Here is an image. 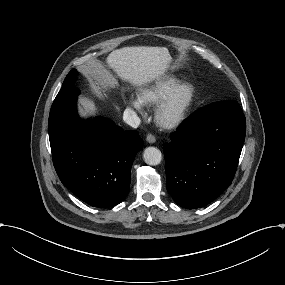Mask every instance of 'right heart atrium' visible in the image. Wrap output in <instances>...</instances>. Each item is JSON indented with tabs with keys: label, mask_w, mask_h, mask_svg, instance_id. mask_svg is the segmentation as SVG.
Segmentation results:
<instances>
[{
	"label": "right heart atrium",
	"mask_w": 285,
	"mask_h": 285,
	"mask_svg": "<svg viewBox=\"0 0 285 285\" xmlns=\"http://www.w3.org/2000/svg\"><path fill=\"white\" fill-rule=\"evenodd\" d=\"M127 103L133 107L134 109H136L140 114H144L145 109H144V105L143 102L136 96L130 95L127 98Z\"/></svg>",
	"instance_id": "1"
}]
</instances>
